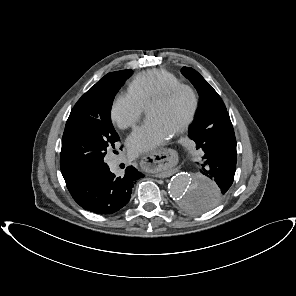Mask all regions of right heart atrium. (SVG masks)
Instances as JSON below:
<instances>
[{"label": "right heart atrium", "mask_w": 296, "mask_h": 296, "mask_svg": "<svg viewBox=\"0 0 296 296\" xmlns=\"http://www.w3.org/2000/svg\"><path fill=\"white\" fill-rule=\"evenodd\" d=\"M142 113L143 106L128 92L117 94L110 109L111 120L120 129L133 127Z\"/></svg>", "instance_id": "obj_1"}]
</instances>
